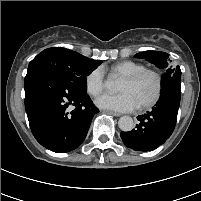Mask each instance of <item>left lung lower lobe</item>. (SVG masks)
<instances>
[{"label": "left lung lower lobe", "instance_id": "obj_1", "mask_svg": "<svg viewBox=\"0 0 201 201\" xmlns=\"http://www.w3.org/2000/svg\"><path fill=\"white\" fill-rule=\"evenodd\" d=\"M181 98V84L172 83L161 90V96L151 111L138 116L139 124L129 132H121L124 144L136 151H153L171 136Z\"/></svg>", "mask_w": 201, "mask_h": 201}]
</instances>
